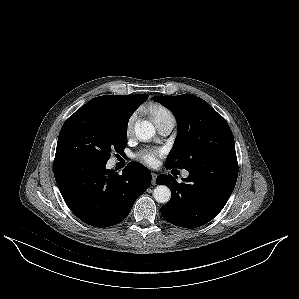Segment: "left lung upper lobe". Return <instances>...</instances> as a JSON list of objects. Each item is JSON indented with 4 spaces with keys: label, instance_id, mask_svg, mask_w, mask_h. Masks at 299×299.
Instances as JSON below:
<instances>
[{
    "label": "left lung upper lobe",
    "instance_id": "5c2ea615",
    "mask_svg": "<svg viewBox=\"0 0 299 299\" xmlns=\"http://www.w3.org/2000/svg\"><path fill=\"white\" fill-rule=\"evenodd\" d=\"M154 98L173 112L178 124L166 168L189 169L206 160L236 156L227 122L206 101L192 94Z\"/></svg>",
    "mask_w": 299,
    "mask_h": 299
}]
</instances>
